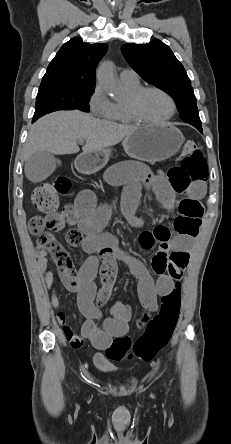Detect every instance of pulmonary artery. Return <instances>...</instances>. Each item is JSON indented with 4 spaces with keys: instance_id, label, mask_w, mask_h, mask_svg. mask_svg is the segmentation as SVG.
Wrapping results in <instances>:
<instances>
[{
    "instance_id": "1",
    "label": "pulmonary artery",
    "mask_w": 231,
    "mask_h": 444,
    "mask_svg": "<svg viewBox=\"0 0 231 444\" xmlns=\"http://www.w3.org/2000/svg\"><path fill=\"white\" fill-rule=\"evenodd\" d=\"M122 81H138V74L132 69H124L120 73Z\"/></svg>"
}]
</instances>
